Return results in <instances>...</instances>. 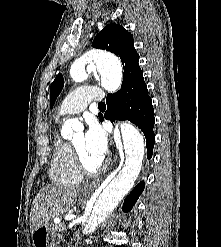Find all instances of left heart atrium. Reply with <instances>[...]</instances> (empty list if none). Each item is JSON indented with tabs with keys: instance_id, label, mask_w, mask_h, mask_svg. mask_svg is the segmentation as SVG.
I'll list each match as a JSON object with an SVG mask.
<instances>
[{
	"instance_id": "obj_1",
	"label": "left heart atrium",
	"mask_w": 221,
	"mask_h": 247,
	"mask_svg": "<svg viewBox=\"0 0 221 247\" xmlns=\"http://www.w3.org/2000/svg\"><path fill=\"white\" fill-rule=\"evenodd\" d=\"M85 146L87 150L99 158H104L107 151V138L102 128L92 122L84 134Z\"/></svg>"
}]
</instances>
